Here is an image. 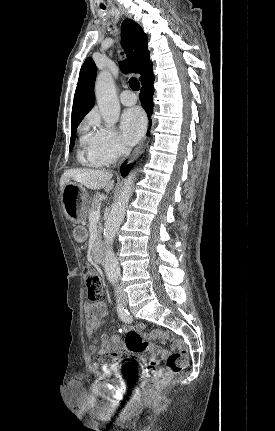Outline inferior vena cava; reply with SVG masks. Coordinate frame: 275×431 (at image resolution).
I'll use <instances>...</instances> for the list:
<instances>
[{"label": "inferior vena cava", "mask_w": 275, "mask_h": 431, "mask_svg": "<svg viewBox=\"0 0 275 431\" xmlns=\"http://www.w3.org/2000/svg\"><path fill=\"white\" fill-rule=\"evenodd\" d=\"M130 151H131L130 148H127V147L122 148V154H128Z\"/></svg>", "instance_id": "1"}]
</instances>
